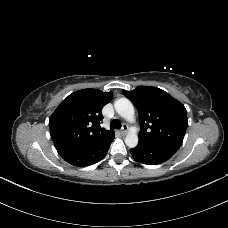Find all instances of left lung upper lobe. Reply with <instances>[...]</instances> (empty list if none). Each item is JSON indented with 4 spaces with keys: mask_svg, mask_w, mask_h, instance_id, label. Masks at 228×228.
<instances>
[{
    "mask_svg": "<svg viewBox=\"0 0 228 228\" xmlns=\"http://www.w3.org/2000/svg\"><path fill=\"white\" fill-rule=\"evenodd\" d=\"M122 92L139 112V143L178 150L188 125L184 105L156 87L138 86Z\"/></svg>",
    "mask_w": 228,
    "mask_h": 228,
    "instance_id": "obj_1",
    "label": "left lung upper lobe"
}]
</instances>
